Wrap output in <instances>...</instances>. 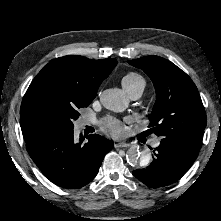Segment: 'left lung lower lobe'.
Returning <instances> with one entry per match:
<instances>
[{
    "label": "left lung lower lobe",
    "mask_w": 221,
    "mask_h": 221,
    "mask_svg": "<svg viewBox=\"0 0 221 221\" xmlns=\"http://www.w3.org/2000/svg\"><path fill=\"white\" fill-rule=\"evenodd\" d=\"M152 163L133 175L152 188L164 187L179 180L192 166L193 158L180 150L160 144L154 151Z\"/></svg>",
    "instance_id": "left-lung-lower-lobe-1"
}]
</instances>
